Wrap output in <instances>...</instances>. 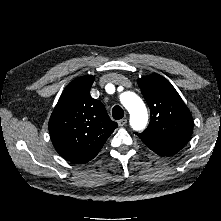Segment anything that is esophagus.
Masks as SVG:
<instances>
[{
    "label": "esophagus",
    "instance_id": "1",
    "mask_svg": "<svg viewBox=\"0 0 221 221\" xmlns=\"http://www.w3.org/2000/svg\"><path fill=\"white\" fill-rule=\"evenodd\" d=\"M126 123H127V119H125V118L118 120V125L121 127L126 125Z\"/></svg>",
    "mask_w": 221,
    "mask_h": 221
}]
</instances>
